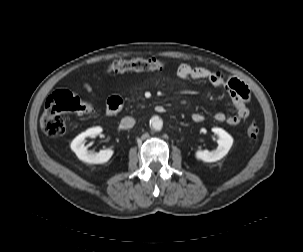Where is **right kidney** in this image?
<instances>
[{"label": "right kidney", "mask_w": 303, "mask_h": 252, "mask_svg": "<svg viewBox=\"0 0 303 252\" xmlns=\"http://www.w3.org/2000/svg\"><path fill=\"white\" fill-rule=\"evenodd\" d=\"M102 132L101 127H93L79 134L72 142L71 149L77 157L87 163L103 164L109 161L114 151L111 149L101 150L99 153H93L87 150L85 146L86 137H94Z\"/></svg>", "instance_id": "1"}]
</instances>
